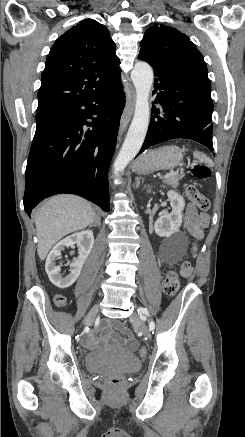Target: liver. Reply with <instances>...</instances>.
Returning a JSON list of instances; mask_svg holds the SVG:
<instances>
[{
    "label": "liver",
    "mask_w": 245,
    "mask_h": 437,
    "mask_svg": "<svg viewBox=\"0 0 245 437\" xmlns=\"http://www.w3.org/2000/svg\"><path fill=\"white\" fill-rule=\"evenodd\" d=\"M95 218L91 204L80 197L59 195L48 199L35 212L39 258L44 260L61 238L90 226Z\"/></svg>",
    "instance_id": "1"
}]
</instances>
